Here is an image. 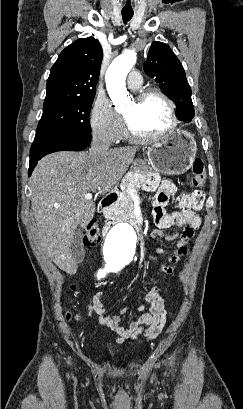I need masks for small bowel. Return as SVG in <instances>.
Instances as JSON below:
<instances>
[{
  "label": "small bowel",
  "mask_w": 243,
  "mask_h": 409,
  "mask_svg": "<svg viewBox=\"0 0 243 409\" xmlns=\"http://www.w3.org/2000/svg\"><path fill=\"white\" fill-rule=\"evenodd\" d=\"M148 187L151 190H156L153 197L152 216L159 230L155 231L154 235L177 240L176 248L171 254L168 255L166 251L162 249L157 250L158 255L166 258L160 265V271L172 276L182 258L186 256L188 245L195 231L201 225V218L196 214V211L202 208L205 196L202 191L182 194L178 200V209L169 212L166 207L170 197L177 191L176 185L169 180L159 181V179L153 178L148 183ZM174 227L182 228V230L171 236H167L161 231ZM144 299L145 302L150 305L147 312H144L146 306L141 304L124 307L119 310V315L106 314V304L103 293L98 292L93 296L92 302L88 306L87 315L90 316L95 312L98 315L100 324L106 325L118 334V338L116 339L117 343H123L128 340L133 342L140 338L149 341L156 338L162 331L164 316L166 314V300L156 286L149 289ZM128 312L144 313H142L137 320L131 322L128 327H125L121 323L120 315Z\"/></svg>",
  "instance_id": "obj_1"
}]
</instances>
